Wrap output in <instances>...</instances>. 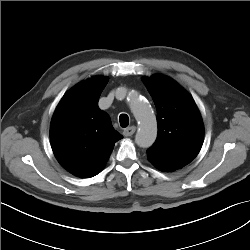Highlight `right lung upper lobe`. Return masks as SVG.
Masks as SVG:
<instances>
[{
  "label": "right lung upper lobe",
  "instance_id": "cb5924a9",
  "mask_svg": "<svg viewBox=\"0 0 250 250\" xmlns=\"http://www.w3.org/2000/svg\"><path fill=\"white\" fill-rule=\"evenodd\" d=\"M108 79L97 76L70 89L59 102L50 126V140L59 163L75 176L98 174L114 144L123 138L108 114L98 107Z\"/></svg>",
  "mask_w": 250,
  "mask_h": 250
}]
</instances>
